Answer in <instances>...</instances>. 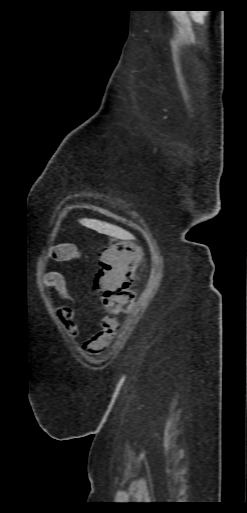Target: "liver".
Listing matches in <instances>:
<instances>
[{
	"mask_svg": "<svg viewBox=\"0 0 247 513\" xmlns=\"http://www.w3.org/2000/svg\"><path fill=\"white\" fill-rule=\"evenodd\" d=\"M79 222L83 226L90 228L92 230H95L98 233L106 234V235H109V236H112V237H115L118 239H131V237H132V235L129 232H127L126 230H124L116 225H113V224H110L107 222H103L100 220L82 218V219H79Z\"/></svg>",
	"mask_w": 247,
	"mask_h": 513,
	"instance_id": "obj_1",
	"label": "liver"
}]
</instances>
